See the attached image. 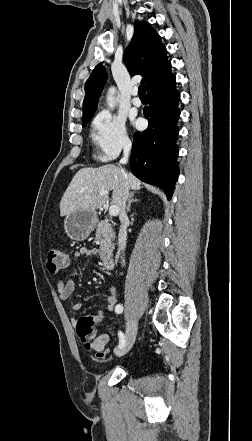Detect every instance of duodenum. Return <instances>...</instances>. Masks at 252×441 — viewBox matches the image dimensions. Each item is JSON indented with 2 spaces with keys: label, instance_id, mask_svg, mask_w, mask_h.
Instances as JSON below:
<instances>
[{
  "label": "duodenum",
  "instance_id": "obj_1",
  "mask_svg": "<svg viewBox=\"0 0 252 441\" xmlns=\"http://www.w3.org/2000/svg\"><path fill=\"white\" fill-rule=\"evenodd\" d=\"M102 266L105 270H111L114 267V260L111 255L105 254L102 257Z\"/></svg>",
  "mask_w": 252,
  "mask_h": 441
}]
</instances>
